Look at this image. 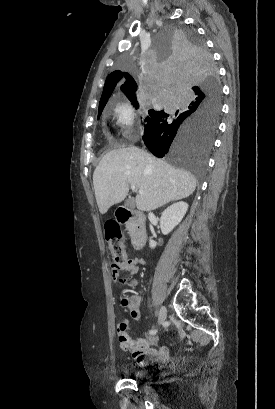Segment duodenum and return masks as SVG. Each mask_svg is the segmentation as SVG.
Masks as SVG:
<instances>
[{
	"label": "duodenum",
	"instance_id": "410a0bca",
	"mask_svg": "<svg viewBox=\"0 0 275 409\" xmlns=\"http://www.w3.org/2000/svg\"><path fill=\"white\" fill-rule=\"evenodd\" d=\"M116 218L121 224H128L131 226V242L134 248H143L147 239L145 217L143 214L135 210L120 207L117 210Z\"/></svg>",
	"mask_w": 275,
	"mask_h": 409
}]
</instances>
